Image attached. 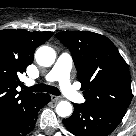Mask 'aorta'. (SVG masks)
<instances>
[{
    "label": "aorta",
    "mask_w": 136,
    "mask_h": 136,
    "mask_svg": "<svg viewBox=\"0 0 136 136\" xmlns=\"http://www.w3.org/2000/svg\"><path fill=\"white\" fill-rule=\"evenodd\" d=\"M37 63L44 67L51 66L56 59V53L53 48L49 46L39 47L35 53ZM56 113L60 117H67L72 114V105L68 101H60L56 106Z\"/></svg>",
    "instance_id": "1"
}]
</instances>
